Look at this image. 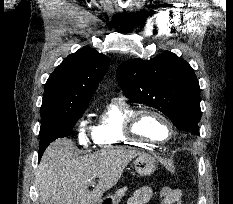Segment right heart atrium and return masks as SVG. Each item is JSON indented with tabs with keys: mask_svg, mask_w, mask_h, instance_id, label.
I'll return each instance as SVG.
<instances>
[{
	"mask_svg": "<svg viewBox=\"0 0 233 204\" xmlns=\"http://www.w3.org/2000/svg\"><path fill=\"white\" fill-rule=\"evenodd\" d=\"M77 139L83 146H89L94 141V129L86 119H81L77 125Z\"/></svg>",
	"mask_w": 233,
	"mask_h": 204,
	"instance_id": "1",
	"label": "right heart atrium"
}]
</instances>
